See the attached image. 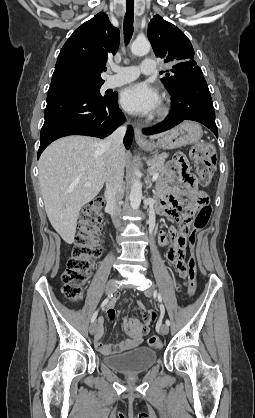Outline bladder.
Listing matches in <instances>:
<instances>
[{"label": "bladder", "mask_w": 255, "mask_h": 418, "mask_svg": "<svg viewBox=\"0 0 255 418\" xmlns=\"http://www.w3.org/2000/svg\"><path fill=\"white\" fill-rule=\"evenodd\" d=\"M157 359L156 350L146 346H138L124 353L104 356L103 362L122 373H139L152 367Z\"/></svg>", "instance_id": "obj_1"}]
</instances>
